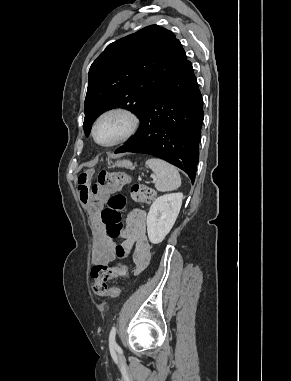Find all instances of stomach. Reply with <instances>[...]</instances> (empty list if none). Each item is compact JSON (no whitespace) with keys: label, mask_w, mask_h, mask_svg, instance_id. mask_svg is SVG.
Here are the masks:
<instances>
[{"label":"stomach","mask_w":291,"mask_h":381,"mask_svg":"<svg viewBox=\"0 0 291 381\" xmlns=\"http://www.w3.org/2000/svg\"><path fill=\"white\" fill-rule=\"evenodd\" d=\"M117 165L121 167L130 168L132 167L133 164L129 160H123V161L117 162Z\"/></svg>","instance_id":"0dacf381"}]
</instances>
